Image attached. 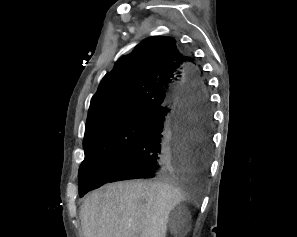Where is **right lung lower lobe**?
<instances>
[{
	"mask_svg": "<svg viewBox=\"0 0 297 237\" xmlns=\"http://www.w3.org/2000/svg\"><path fill=\"white\" fill-rule=\"evenodd\" d=\"M170 101L155 110L129 150L100 186L130 179L197 174L209 167L212 114L206 86L196 64Z\"/></svg>",
	"mask_w": 297,
	"mask_h": 237,
	"instance_id": "obj_1",
	"label": "right lung lower lobe"
}]
</instances>
